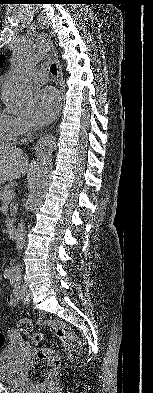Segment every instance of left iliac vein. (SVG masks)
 Masks as SVG:
<instances>
[{
	"label": "left iliac vein",
	"instance_id": "left-iliac-vein-1",
	"mask_svg": "<svg viewBox=\"0 0 153 393\" xmlns=\"http://www.w3.org/2000/svg\"><path fill=\"white\" fill-rule=\"evenodd\" d=\"M21 292L19 297L22 299L23 302L27 303L29 301V289L27 288V286L23 285L20 287Z\"/></svg>",
	"mask_w": 153,
	"mask_h": 393
}]
</instances>
